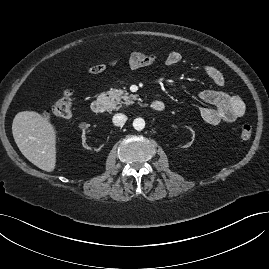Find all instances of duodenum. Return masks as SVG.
Masks as SVG:
<instances>
[{
	"mask_svg": "<svg viewBox=\"0 0 269 269\" xmlns=\"http://www.w3.org/2000/svg\"><path fill=\"white\" fill-rule=\"evenodd\" d=\"M108 106V100L105 96H100L91 104V109L95 114H102ZM151 109L156 113H161L165 109V103L162 100H154L151 102Z\"/></svg>",
	"mask_w": 269,
	"mask_h": 269,
	"instance_id": "duodenum-1",
	"label": "duodenum"
}]
</instances>
